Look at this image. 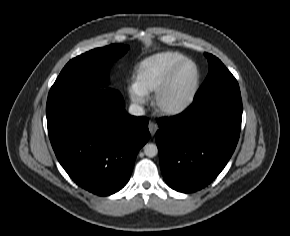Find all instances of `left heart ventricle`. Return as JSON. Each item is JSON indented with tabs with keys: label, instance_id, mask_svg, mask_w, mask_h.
I'll use <instances>...</instances> for the list:
<instances>
[{
	"label": "left heart ventricle",
	"instance_id": "b2bd125f",
	"mask_svg": "<svg viewBox=\"0 0 290 236\" xmlns=\"http://www.w3.org/2000/svg\"><path fill=\"white\" fill-rule=\"evenodd\" d=\"M195 80V69L191 64L185 65L174 78L170 88L162 97L165 105H175L183 101L191 92Z\"/></svg>",
	"mask_w": 290,
	"mask_h": 236
}]
</instances>
